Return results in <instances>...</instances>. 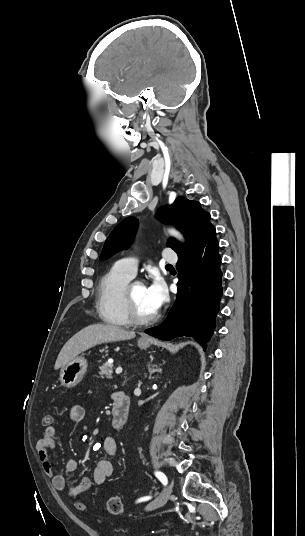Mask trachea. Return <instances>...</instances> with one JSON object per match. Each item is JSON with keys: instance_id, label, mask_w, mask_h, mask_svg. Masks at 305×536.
Here are the masks:
<instances>
[{"instance_id": "3493384b", "label": "trachea", "mask_w": 305, "mask_h": 536, "mask_svg": "<svg viewBox=\"0 0 305 536\" xmlns=\"http://www.w3.org/2000/svg\"><path fill=\"white\" fill-rule=\"evenodd\" d=\"M166 269H169V270H174L173 266L172 265H166Z\"/></svg>"}]
</instances>
